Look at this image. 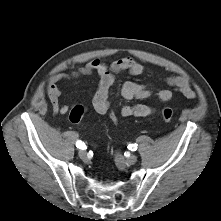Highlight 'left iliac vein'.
Instances as JSON below:
<instances>
[{
	"instance_id": "left-iliac-vein-1",
	"label": "left iliac vein",
	"mask_w": 221,
	"mask_h": 221,
	"mask_svg": "<svg viewBox=\"0 0 221 221\" xmlns=\"http://www.w3.org/2000/svg\"><path fill=\"white\" fill-rule=\"evenodd\" d=\"M116 158L118 159L119 155H117ZM136 161H137V156L132 154L127 159L123 160L122 162L127 165H133L136 163Z\"/></svg>"
}]
</instances>
